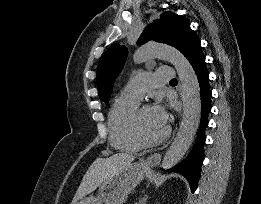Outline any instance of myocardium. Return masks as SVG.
I'll use <instances>...</instances> for the list:
<instances>
[{
    "instance_id": "1",
    "label": "myocardium",
    "mask_w": 261,
    "mask_h": 204,
    "mask_svg": "<svg viewBox=\"0 0 261 204\" xmlns=\"http://www.w3.org/2000/svg\"><path fill=\"white\" fill-rule=\"evenodd\" d=\"M150 107L148 104H143L139 106L136 111L134 112L133 118H132V129L135 137L139 141V143L144 147H152L161 144L164 142L169 134H170V128L166 127L163 134H161L157 138H149L143 131L141 126V113L145 108Z\"/></svg>"
}]
</instances>
